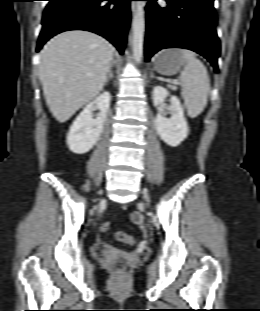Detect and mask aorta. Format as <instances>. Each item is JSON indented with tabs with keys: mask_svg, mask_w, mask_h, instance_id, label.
<instances>
[{
	"mask_svg": "<svg viewBox=\"0 0 260 311\" xmlns=\"http://www.w3.org/2000/svg\"><path fill=\"white\" fill-rule=\"evenodd\" d=\"M144 32H145L144 2L138 1L133 14V34L131 41L133 57L137 63H140L143 56Z\"/></svg>",
	"mask_w": 260,
	"mask_h": 311,
	"instance_id": "1",
	"label": "aorta"
}]
</instances>
